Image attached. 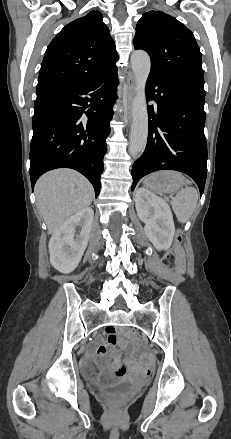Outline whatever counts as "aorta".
Segmentation results:
<instances>
[{"mask_svg":"<svg viewBox=\"0 0 231 439\" xmlns=\"http://www.w3.org/2000/svg\"><path fill=\"white\" fill-rule=\"evenodd\" d=\"M131 65L135 78V97L132 102L129 152L137 157L144 151L148 137L145 85L151 69L150 57L144 51H135L131 55Z\"/></svg>","mask_w":231,"mask_h":439,"instance_id":"obj_1","label":"aorta"}]
</instances>
